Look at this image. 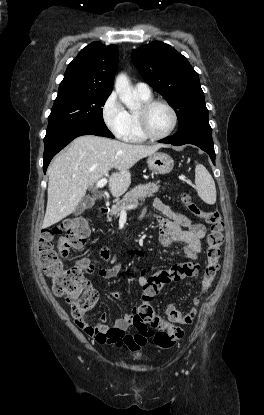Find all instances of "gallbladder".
I'll use <instances>...</instances> for the list:
<instances>
[{
    "label": "gallbladder",
    "instance_id": "1",
    "mask_svg": "<svg viewBox=\"0 0 264 415\" xmlns=\"http://www.w3.org/2000/svg\"><path fill=\"white\" fill-rule=\"evenodd\" d=\"M93 205H94V200L89 196H85V197L82 198L81 202L75 208L74 214L79 215L85 209L93 207Z\"/></svg>",
    "mask_w": 264,
    "mask_h": 415
}]
</instances>
